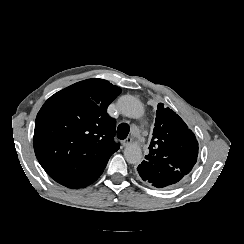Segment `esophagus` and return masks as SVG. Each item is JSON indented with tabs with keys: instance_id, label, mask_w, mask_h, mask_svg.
<instances>
[{
	"instance_id": "1",
	"label": "esophagus",
	"mask_w": 244,
	"mask_h": 244,
	"mask_svg": "<svg viewBox=\"0 0 244 244\" xmlns=\"http://www.w3.org/2000/svg\"><path fill=\"white\" fill-rule=\"evenodd\" d=\"M131 142H132V138H131V137H127L126 139H124V140L122 141V145H123L124 147H126V146H128L129 144H131Z\"/></svg>"
}]
</instances>
